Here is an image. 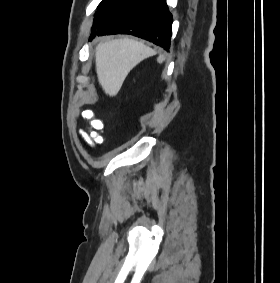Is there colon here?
Listing matches in <instances>:
<instances>
[{
  "mask_svg": "<svg viewBox=\"0 0 280 283\" xmlns=\"http://www.w3.org/2000/svg\"><path fill=\"white\" fill-rule=\"evenodd\" d=\"M83 115L89 119V124L91 126V131L88 134V137L95 143H100L102 141V129H103V123L99 119H94L93 114L89 111H85Z\"/></svg>",
  "mask_w": 280,
  "mask_h": 283,
  "instance_id": "5ec220e1",
  "label": "colon"
}]
</instances>
